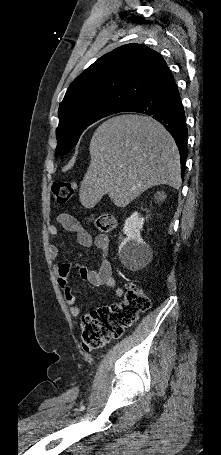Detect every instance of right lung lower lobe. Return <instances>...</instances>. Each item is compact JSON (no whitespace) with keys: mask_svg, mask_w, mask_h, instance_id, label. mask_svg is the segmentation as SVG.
<instances>
[{"mask_svg":"<svg viewBox=\"0 0 221 455\" xmlns=\"http://www.w3.org/2000/svg\"><path fill=\"white\" fill-rule=\"evenodd\" d=\"M123 112H138L152 116L168 130L174 138L180 153L183 178L188 155V130L179 91L167 65L144 94L128 105Z\"/></svg>","mask_w":221,"mask_h":455,"instance_id":"98d812e1","label":"right lung lower lobe"}]
</instances>
